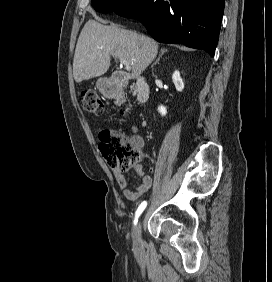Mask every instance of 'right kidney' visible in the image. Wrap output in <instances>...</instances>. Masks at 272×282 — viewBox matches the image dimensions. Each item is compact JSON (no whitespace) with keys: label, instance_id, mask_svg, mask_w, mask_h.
I'll use <instances>...</instances> for the list:
<instances>
[{"label":"right kidney","instance_id":"1","mask_svg":"<svg viewBox=\"0 0 272 282\" xmlns=\"http://www.w3.org/2000/svg\"><path fill=\"white\" fill-rule=\"evenodd\" d=\"M172 81L175 85V88L177 91L181 92L184 89V82L180 76V72L179 71H175L172 75ZM158 112L162 115L165 116L167 113V109L165 106L160 105L158 107Z\"/></svg>","mask_w":272,"mask_h":282}]
</instances>
